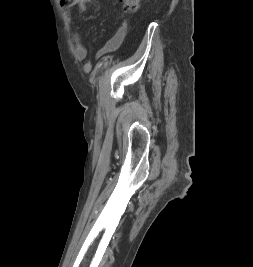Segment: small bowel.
I'll use <instances>...</instances> for the list:
<instances>
[{
    "label": "small bowel",
    "instance_id": "c3829d8e",
    "mask_svg": "<svg viewBox=\"0 0 253 267\" xmlns=\"http://www.w3.org/2000/svg\"><path fill=\"white\" fill-rule=\"evenodd\" d=\"M69 23L72 25L73 20L69 14H67ZM127 33V25L123 23L114 35L104 44V46L98 51L97 57H102L104 55L115 52L123 43ZM74 50L75 55L79 60H85L88 56V49L82 43L81 37L78 32L74 33Z\"/></svg>",
    "mask_w": 253,
    "mask_h": 267
}]
</instances>
